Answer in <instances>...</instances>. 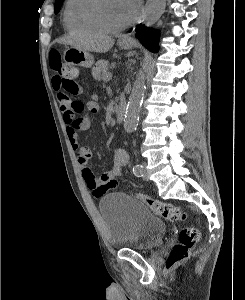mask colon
<instances>
[{"mask_svg":"<svg viewBox=\"0 0 245 300\" xmlns=\"http://www.w3.org/2000/svg\"><path fill=\"white\" fill-rule=\"evenodd\" d=\"M49 65L55 72V76L60 80L67 91L74 92L77 89V82L75 81L78 73L77 69L70 64L64 63L58 51L54 50L50 52ZM73 106L77 110H80L84 107V102L81 100H75L73 102ZM136 196L146 203L155 215H158L170 222L184 221L187 218L186 213L173 204L162 202L143 194H136ZM198 240L199 232L197 229L193 227L183 228L179 233L178 243L174 246L170 253L166 267L171 269L186 259Z\"/></svg>","mask_w":245,"mask_h":300,"instance_id":"5ec220e1","label":"colon"}]
</instances>
